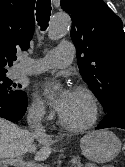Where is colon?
Listing matches in <instances>:
<instances>
[{"mask_svg":"<svg viewBox=\"0 0 125 167\" xmlns=\"http://www.w3.org/2000/svg\"><path fill=\"white\" fill-rule=\"evenodd\" d=\"M123 152H124V154H125V142H124V144H123Z\"/></svg>","mask_w":125,"mask_h":167,"instance_id":"obj_1","label":"colon"}]
</instances>
